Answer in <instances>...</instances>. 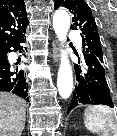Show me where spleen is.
<instances>
[{
	"label": "spleen",
	"mask_w": 117,
	"mask_h": 136,
	"mask_svg": "<svg viewBox=\"0 0 117 136\" xmlns=\"http://www.w3.org/2000/svg\"><path fill=\"white\" fill-rule=\"evenodd\" d=\"M84 124L88 130L101 136H117V116L104 105H92L85 109Z\"/></svg>",
	"instance_id": "1"
}]
</instances>
